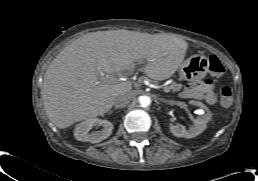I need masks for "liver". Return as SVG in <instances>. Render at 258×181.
<instances>
[{"label": "liver", "mask_w": 258, "mask_h": 181, "mask_svg": "<svg viewBox=\"0 0 258 181\" xmlns=\"http://www.w3.org/2000/svg\"><path fill=\"white\" fill-rule=\"evenodd\" d=\"M187 47L184 40L166 34L123 29L86 34L65 47L45 72L41 95L46 115L59 129L103 115L117 96L132 89L130 81L114 76L146 63L149 78L168 79L182 64Z\"/></svg>", "instance_id": "6515ba94"}]
</instances>
